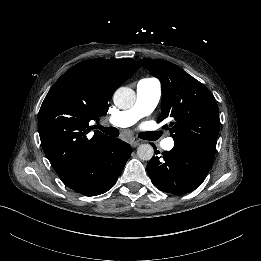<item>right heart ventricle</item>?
<instances>
[{
    "label": "right heart ventricle",
    "instance_id": "right-heart-ventricle-1",
    "mask_svg": "<svg viewBox=\"0 0 261 261\" xmlns=\"http://www.w3.org/2000/svg\"><path fill=\"white\" fill-rule=\"evenodd\" d=\"M143 79H154V80H156L155 78H152V77H145Z\"/></svg>",
    "mask_w": 261,
    "mask_h": 261
}]
</instances>
